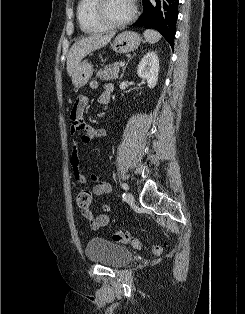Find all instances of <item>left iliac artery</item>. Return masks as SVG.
I'll return each instance as SVG.
<instances>
[{
	"label": "left iliac artery",
	"instance_id": "obj_1",
	"mask_svg": "<svg viewBox=\"0 0 245 314\" xmlns=\"http://www.w3.org/2000/svg\"><path fill=\"white\" fill-rule=\"evenodd\" d=\"M122 188H123L124 190H128V189H129L127 183H122ZM123 197H124V195H123Z\"/></svg>",
	"mask_w": 245,
	"mask_h": 314
}]
</instances>
